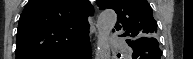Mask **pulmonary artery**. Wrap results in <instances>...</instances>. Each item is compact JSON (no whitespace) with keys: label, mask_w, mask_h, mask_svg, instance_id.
<instances>
[{"label":"pulmonary artery","mask_w":193,"mask_h":59,"mask_svg":"<svg viewBox=\"0 0 193 59\" xmlns=\"http://www.w3.org/2000/svg\"><path fill=\"white\" fill-rule=\"evenodd\" d=\"M110 43H111V45H116V46H123L124 45L123 40L115 34H113L110 37ZM125 54H130V51L125 50Z\"/></svg>","instance_id":"pulmonary-artery-1"}]
</instances>
